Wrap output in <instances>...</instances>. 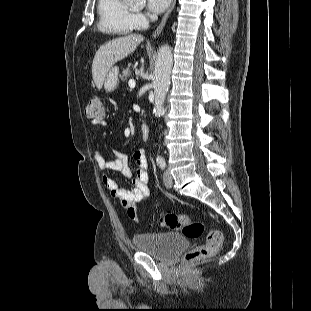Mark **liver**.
<instances>
[{"label":"liver","mask_w":311,"mask_h":311,"mask_svg":"<svg viewBox=\"0 0 311 311\" xmlns=\"http://www.w3.org/2000/svg\"><path fill=\"white\" fill-rule=\"evenodd\" d=\"M143 39L142 35H128L113 39L98 49L92 63V76L98 89L102 88L113 65L133 53Z\"/></svg>","instance_id":"obj_1"}]
</instances>
